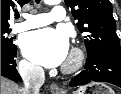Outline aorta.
Instances as JSON below:
<instances>
[{
  "instance_id": "762f6f07",
  "label": "aorta",
  "mask_w": 121,
  "mask_h": 94,
  "mask_svg": "<svg viewBox=\"0 0 121 94\" xmlns=\"http://www.w3.org/2000/svg\"><path fill=\"white\" fill-rule=\"evenodd\" d=\"M44 2H45L46 4L51 5V4H57V3H59L60 0H44Z\"/></svg>"
}]
</instances>
